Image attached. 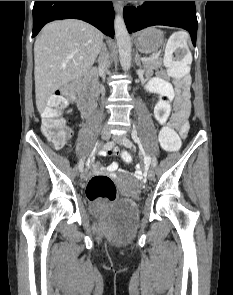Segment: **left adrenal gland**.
I'll list each match as a JSON object with an SVG mask.
<instances>
[{
    "mask_svg": "<svg viewBox=\"0 0 233 295\" xmlns=\"http://www.w3.org/2000/svg\"><path fill=\"white\" fill-rule=\"evenodd\" d=\"M135 63H136V65L138 66V67H142V65H141V60H140V56H139V54H138V51H136V54H135Z\"/></svg>",
    "mask_w": 233,
    "mask_h": 295,
    "instance_id": "a2214340",
    "label": "left adrenal gland"
}]
</instances>
